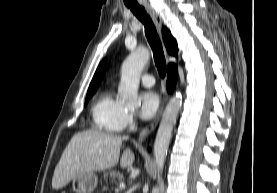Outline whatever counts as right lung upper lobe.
Listing matches in <instances>:
<instances>
[{"mask_svg":"<svg viewBox=\"0 0 277 193\" xmlns=\"http://www.w3.org/2000/svg\"><path fill=\"white\" fill-rule=\"evenodd\" d=\"M162 37L168 53L171 55H177L178 47H177L176 40L173 38V36L171 35L170 31L167 28L162 29ZM105 64H106V60H103L102 63L97 68L95 75L89 86L87 94L94 93L96 91L97 86L99 85L103 77Z\"/></svg>","mask_w":277,"mask_h":193,"instance_id":"obj_1","label":"right lung upper lobe"}]
</instances>
